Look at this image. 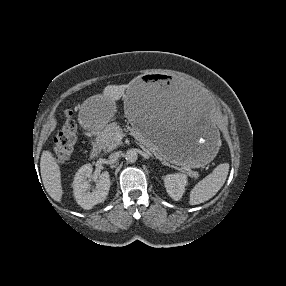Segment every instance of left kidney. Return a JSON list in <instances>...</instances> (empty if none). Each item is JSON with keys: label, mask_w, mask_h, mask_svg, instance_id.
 Listing matches in <instances>:
<instances>
[{"label": "left kidney", "mask_w": 286, "mask_h": 286, "mask_svg": "<svg viewBox=\"0 0 286 286\" xmlns=\"http://www.w3.org/2000/svg\"><path fill=\"white\" fill-rule=\"evenodd\" d=\"M164 184L168 195L175 201L181 199L187 185V176L182 173L168 174L164 178Z\"/></svg>", "instance_id": "1"}]
</instances>
